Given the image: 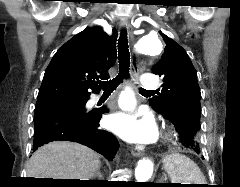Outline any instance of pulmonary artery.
Wrapping results in <instances>:
<instances>
[{"label":"pulmonary artery","instance_id":"e3ab8cb5","mask_svg":"<svg viewBox=\"0 0 240 187\" xmlns=\"http://www.w3.org/2000/svg\"><path fill=\"white\" fill-rule=\"evenodd\" d=\"M140 82L145 90H155L158 87L155 76L152 74L143 75L140 78Z\"/></svg>","mask_w":240,"mask_h":187}]
</instances>
